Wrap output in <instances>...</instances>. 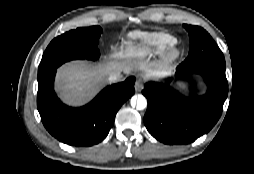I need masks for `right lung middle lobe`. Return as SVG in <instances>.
<instances>
[{
  "label": "right lung middle lobe",
  "instance_id": "right-lung-middle-lobe-1",
  "mask_svg": "<svg viewBox=\"0 0 254 174\" xmlns=\"http://www.w3.org/2000/svg\"><path fill=\"white\" fill-rule=\"evenodd\" d=\"M101 33L102 29L99 26H92L71 30L53 39L42 56L38 78L69 60L98 59Z\"/></svg>",
  "mask_w": 254,
  "mask_h": 174
}]
</instances>
